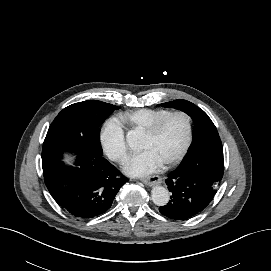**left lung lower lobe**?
I'll return each instance as SVG.
<instances>
[{
	"instance_id": "left-lung-lower-lobe-1",
	"label": "left lung lower lobe",
	"mask_w": 271,
	"mask_h": 271,
	"mask_svg": "<svg viewBox=\"0 0 271 271\" xmlns=\"http://www.w3.org/2000/svg\"><path fill=\"white\" fill-rule=\"evenodd\" d=\"M222 178L198 171L178 169L165 180L172 193L169 202L159 207L164 216L187 220L202 212L213 200Z\"/></svg>"
}]
</instances>
